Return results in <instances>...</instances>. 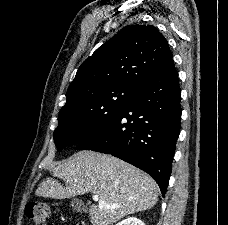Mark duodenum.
<instances>
[{
    "label": "duodenum",
    "mask_w": 228,
    "mask_h": 225,
    "mask_svg": "<svg viewBox=\"0 0 228 225\" xmlns=\"http://www.w3.org/2000/svg\"><path fill=\"white\" fill-rule=\"evenodd\" d=\"M79 225H87V223L85 221H81L79 222Z\"/></svg>",
    "instance_id": "duodenum-1"
}]
</instances>
